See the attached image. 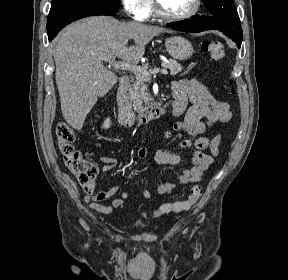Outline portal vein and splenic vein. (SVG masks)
<instances>
[{"instance_id": "1", "label": "portal vein and splenic vein", "mask_w": 288, "mask_h": 280, "mask_svg": "<svg viewBox=\"0 0 288 280\" xmlns=\"http://www.w3.org/2000/svg\"><path fill=\"white\" fill-rule=\"evenodd\" d=\"M104 61L109 62L110 64H112V66L115 69H122V70H129L135 74H138L140 76H142L143 78H145L146 80H150L151 79V74H155L158 72H161L164 75L168 74V71L166 68L163 69H154L151 74L147 71H144L141 69V67L131 64L129 62H116L114 57H104L103 58Z\"/></svg>"}]
</instances>
